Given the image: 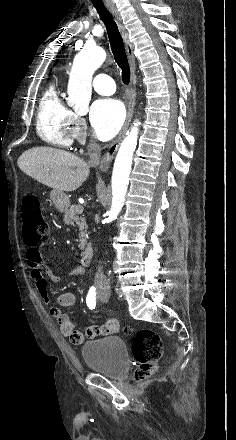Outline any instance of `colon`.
Listing matches in <instances>:
<instances>
[{"instance_id": "1", "label": "colon", "mask_w": 236, "mask_h": 440, "mask_svg": "<svg viewBox=\"0 0 236 440\" xmlns=\"http://www.w3.org/2000/svg\"><path fill=\"white\" fill-rule=\"evenodd\" d=\"M22 222L23 239L27 245L35 246L49 233L48 224L40 209L39 199L33 194H27L23 198ZM129 331L130 329H127V332ZM132 353L139 363L135 378L142 380L148 377L155 371L162 355V343L159 336L151 329L139 330L132 341Z\"/></svg>"}]
</instances>
